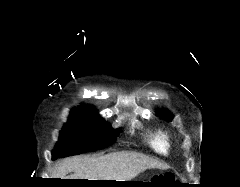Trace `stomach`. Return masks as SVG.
Masks as SVG:
<instances>
[{
  "instance_id": "0dacf381",
  "label": "stomach",
  "mask_w": 240,
  "mask_h": 187,
  "mask_svg": "<svg viewBox=\"0 0 240 187\" xmlns=\"http://www.w3.org/2000/svg\"><path fill=\"white\" fill-rule=\"evenodd\" d=\"M124 186H132L131 184H128V185H124Z\"/></svg>"
}]
</instances>
